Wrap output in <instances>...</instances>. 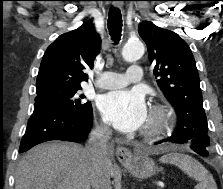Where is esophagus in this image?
<instances>
[{
  "label": "esophagus",
  "instance_id": "esophagus-1",
  "mask_svg": "<svg viewBox=\"0 0 223 189\" xmlns=\"http://www.w3.org/2000/svg\"><path fill=\"white\" fill-rule=\"evenodd\" d=\"M114 5L118 8L122 7V3L119 0H116ZM116 156L120 163L128 165L132 162L133 155L131 151L125 147H117Z\"/></svg>",
  "mask_w": 223,
  "mask_h": 189
}]
</instances>
